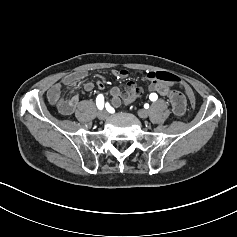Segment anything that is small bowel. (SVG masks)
Returning a JSON list of instances; mask_svg holds the SVG:
<instances>
[{
  "label": "small bowel",
  "mask_w": 237,
  "mask_h": 237,
  "mask_svg": "<svg viewBox=\"0 0 237 237\" xmlns=\"http://www.w3.org/2000/svg\"><path fill=\"white\" fill-rule=\"evenodd\" d=\"M148 72L147 78L151 81L149 85V90L151 92H157L160 95L166 97L171 106L174 114L176 116H182L186 109V98L185 96L173 88L170 84L157 81L150 77ZM87 72L85 70H76L72 73L64 76L59 82L52 84L47 91V98L50 104L54 105L57 110L62 115H72L82 106L80 102V97L78 94L71 96L70 98H65L62 96L63 86H72L75 85L86 77ZM113 75L116 78H126L128 73L125 70H115ZM85 91L91 92L97 87L98 89L105 88V82L98 80L96 82L86 81L83 85ZM111 99L110 103L113 107H118L121 104V91L118 87H113L110 91Z\"/></svg>",
  "instance_id": "c3829d8e"
}]
</instances>
